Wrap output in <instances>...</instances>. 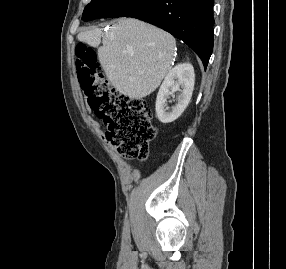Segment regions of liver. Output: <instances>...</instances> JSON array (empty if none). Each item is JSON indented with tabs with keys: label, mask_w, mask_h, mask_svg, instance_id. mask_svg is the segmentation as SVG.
Here are the masks:
<instances>
[{
	"label": "liver",
	"mask_w": 286,
	"mask_h": 269,
	"mask_svg": "<svg viewBox=\"0 0 286 269\" xmlns=\"http://www.w3.org/2000/svg\"><path fill=\"white\" fill-rule=\"evenodd\" d=\"M103 36V46L101 37ZM78 40L98 48L107 79L131 99L150 95L171 70L176 47L169 33L133 18H121L109 31L94 28L80 32Z\"/></svg>",
	"instance_id": "6515ba94"
}]
</instances>
